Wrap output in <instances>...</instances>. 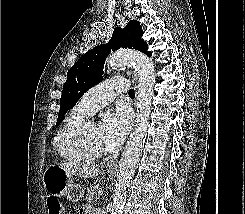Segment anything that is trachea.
I'll return each mask as SVG.
<instances>
[{"instance_id": "trachea-1", "label": "trachea", "mask_w": 245, "mask_h": 214, "mask_svg": "<svg viewBox=\"0 0 245 214\" xmlns=\"http://www.w3.org/2000/svg\"><path fill=\"white\" fill-rule=\"evenodd\" d=\"M129 97H132V98L135 97V92H134L133 89H130V90H129Z\"/></svg>"}]
</instances>
